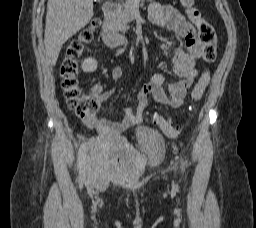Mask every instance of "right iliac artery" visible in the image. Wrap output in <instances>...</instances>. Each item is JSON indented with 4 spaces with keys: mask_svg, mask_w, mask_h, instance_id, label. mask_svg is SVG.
<instances>
[{
    "mask_svg": "<svg viewBox=\"0 0 256 228\" xmlns=\"http://www.w3.org/2000/svg\"><path fill=\"white\" fill-rule=\"evenodd\" d=\"M85 144L81 146V148L79 149L78 152V164H77V168L80 174V179L83 180L84 179V170H85Z\"/></svg>",
    "mask_w": 256,
    "mask_h": 228,
    "instance_id": "right-iliac-artery-1",
    "label": "right iliac artery"
}]
</instances>
